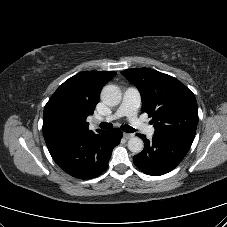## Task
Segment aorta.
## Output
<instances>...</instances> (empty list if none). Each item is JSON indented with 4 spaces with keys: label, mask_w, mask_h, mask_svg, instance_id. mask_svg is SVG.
<instances>
[{
    "label": "aorta",
    "mask_w": 227,
    "mask_h": 227,
    "mask_svg": "<svg viewBox=\"0 0 227 227\" xmlns=\"http://www.w3.org/2000/svg\"><path fill=\"white\" fill-rule=\"evenodd\" d=\"M102 101L108 106H117L122 99V93L119 87L107 85L101 92ZM144 148V143L139 137H131L128 141V149L133 153H140Z\"/></svg>",
    "instance_id": "1"
}]
</instances>
